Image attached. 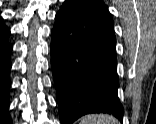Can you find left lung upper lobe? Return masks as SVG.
I'll use <instances>...</instances> for the list:
<instances>
[{
    "mask_svg": "<svg viewBox=\"0 0 156 124\" xmlns=\"http://www.w3.org/2000/svg\"><path fill=\"white\" fill-rule=\"evenodd\" d=\"M79 1L85 4L91 10L101 14L102 16L113 22L112 17L103 1L101 0H79Z\"/></svg>",
    "mask_w": 156,
    "mask_h": 124,
    "instance_id": "obj_1",
    "label": "left lung upper lobe"
}]
</instances>
